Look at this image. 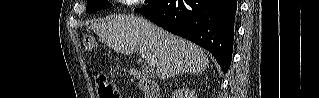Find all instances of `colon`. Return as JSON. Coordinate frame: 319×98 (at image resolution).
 I'll return each instance as SVG.
<instances>
[{
    "instance_id": "1",
    "label": "colon",
    "mask_w": 319,
    "mask_h": 98,
    "mask_svg": "<svg viewBox=\"0 0 319 98\" xmlns=\"http://www.w3.org/2000/svg\"><path fill=\"white\" fill-rule=\"evenodd\" d=\"M81 37L85 49L89 52H93L96 48V44L92 33L89 30H83ZM95 85L98 89L100 98H118V93L116 92L112 81L107 76H96Z\"/></svg>"
}]
</instances>
